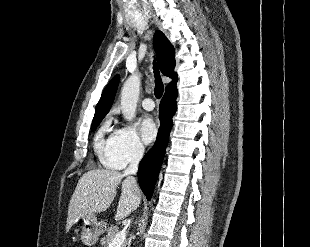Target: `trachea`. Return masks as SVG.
<instances>
[{
    "label": "trachea",
    "instance_id": "obj_1",
    "mask_svg": "<svg viewBox=\"0 0 310 247\" xmlns=\"http://www.w3.org/2000/svg\"><path fill=\"white\" fill-rule=\"evenodd\" d=\"M154 76H155V89H154V94H155V97L157 99H160L163 95V91H164V85H163V82L161 80V77H160V73H159V70H158V67L157 65L154 63Z\"/></svg>",
    "mask_w": 310,
    "mask_h": 247
}]
</instances>
